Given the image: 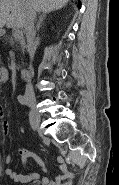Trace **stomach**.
<instances>
[{
	"label": "stomach",
	"instance_id": "obj_1",
	"mask_svg": "<svg viewBox=\"0 0 119 185\" xmlns=\"http://www.w3.org/2000/svg\"><path fill=\"white\" fill-rule=\"evenodd\" d=\"M4 35V30H2V28H0V36Z\"/></svg>",
	"mask_w": 119,
	"mask_h": 185
}]
</instances>
